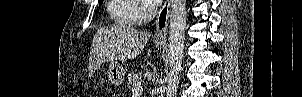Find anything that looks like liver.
<instances>
[{
	"mask_svg": "<svg viewBox=\"0 0 302 97\" xmlns=\"http://www.w3.org/2000/svg\"><path fill=\"white\" fill-rule=\"evenodd\" d=\"M150 34L131 26L116 25L99 29L90 51L89 76L98 64L108 59H135L144 49Z\"/></svg>",
	"mask_w": 302,
	"mask_h": 97,
	"instance_id": "obj_1",
	"label": "liver"
}]
</instances>
